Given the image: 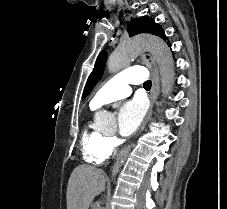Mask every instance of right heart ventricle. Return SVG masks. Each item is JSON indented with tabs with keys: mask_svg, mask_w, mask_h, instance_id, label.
Here are the masks:
<instances>
[{
	"mask_svg": "<svg viewBox=\"0 0 227 209\" xmlns=\"http://www.w3.org/2000/svg\"><path fill=\"white\" fill-rule=\"evenodd\" d=\"M90 110H94L91 104ZM81 143L83 158L92 165H102L113 152L109 137L96 128L90 129L89 126L84 128Z\"/></svg>",
	"mask_w": 227,
	"mask_h": 209,
	"instance_id": "e07e8e85",
	"label": "right heart ventricle"
}]
</instances>
